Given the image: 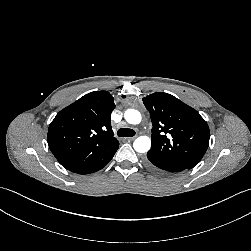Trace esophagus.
<instances>
[{
    "label": "esophagus",
    "instance_id": "1",
    "mask_svg": "<svg viewBox=\"0 0 251 251\" xmlns=\"http://www.w3.org/2000/svg\"><path fill=\"white\" fill-rule=\"evenodd\" d=\"M135 138H136V136H134V137H127L126 140L127 141H133Z\"/></svg>",
    "mask_w": 251,
    "mask_h": 251
}]
</instances>
